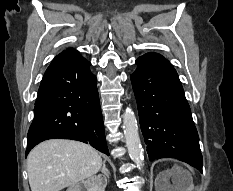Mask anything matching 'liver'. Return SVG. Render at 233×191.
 <instances>
[{
    "mask_svg": "<svg viewBox=\"0 0 233 191\" xmlns=\"http://www.w3.org/2000/svg\"><path fill=\"white\" fill-rule=\"evenodd\" d=\"M101 166L102 158L94 148L74 140L44 141L27 158L31 191H60L92 177Z\"/></svg>",
    "mask_w": 233,
    "mask_h": 191,
    "instance_id": "liver-1",
    "label": "liver"
}]
</instances>
